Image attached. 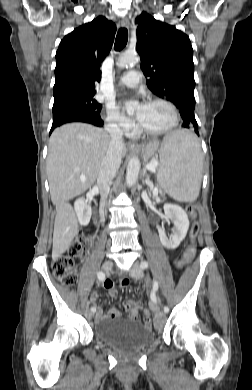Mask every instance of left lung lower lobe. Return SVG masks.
Masks as SVG:
<instances>
[{"label": "left lung lower lobe", "instance_id": "1", "mask_svg": "<svg viewBox=\"0 0 252 390\" xmlns=\"http://www.w3.org/2000/svg\"><path fill=\"white\" fill-rule=\"evenodd\" d=\"M182 119H183V125H182L183 127L188 129H194L195 133L199 135L198 125L195 120V117H193L192 115H183Z\"/></svg>", "mask_w": 252, "mask_h": 390}]
</instances>
